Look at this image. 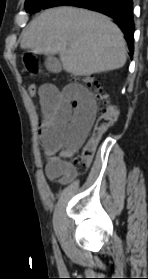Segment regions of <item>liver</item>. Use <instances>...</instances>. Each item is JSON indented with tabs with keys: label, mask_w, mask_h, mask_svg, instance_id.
I'll return each mask as SVG.
<instances>
[{
	"label": "liver",
	"mask_w": 148,
	"mask_h": 279,
	"mask_svg": "<svg viewBox=\"0 0 148 279\" xmlns=\"http://www.w3.org/2000/svg\"><path fill=\"white\" fill-rule=\"evenodd\" d=\"M22 49L59 54L63 68L75 76L119 69L126 62V43L110 18L85 9L56 7L36 17L24 32Z\"/></svg>",
	"instance_id": "obj_1"
}]
</instances>
